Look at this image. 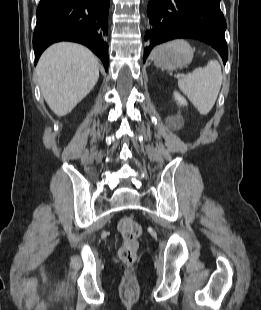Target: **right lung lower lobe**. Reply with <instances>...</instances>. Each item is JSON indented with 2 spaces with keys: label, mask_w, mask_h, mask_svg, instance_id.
Masks as SVG:
<instances>
[{
  "label": "right lung lower lobe",
  "mask_w": 261,
  "mask_h": 310,
  "mask_svg": "<svg viewBox=\"0 0 261 310\" xmlns=\"http://www.w3.org/2000/svg\"><path fill=\"white\" fill-rule=\"evenodd\" d=\"M110 0H40L33 34L35 64L52 43L74 41L86 45L108 68V11Z\"/></svg>",
  "instance_id": "obj_1"
}]
</instances>
